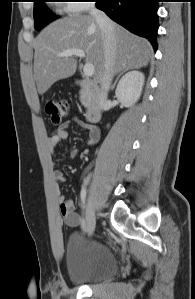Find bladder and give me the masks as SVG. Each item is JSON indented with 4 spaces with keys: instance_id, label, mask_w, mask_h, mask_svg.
<instances>
[{
    "instance_id": "obj_1",
    "label": "bladder",
    "mask_w": 195,
    "mask_h": 299,
    "mask_svg": "<svg viewBox=\"0 0 195 299\" xmlns=\"http://www.w3.org/2000/svg\"><path fill=\"white\" fill-rule=\"evenodd\" d=\"M69 278L81 284L108 279L119 269L111 249L100 242L86 241L82 234L74 233L67 242Z\"/></svg>"
}]
</instances>
